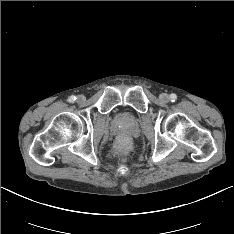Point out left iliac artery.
I'll list each match as a JSON object with an SVG mask.
<instances>
[{
	"label": "left iliac artery",
	"instance_id": "obj_1",
	"mask_svg": "<svg viewBox=\"0 0 234 234\" xmlns=\"http://www.w3.org/2000/svg\"><path fill=\"white\" fill-rule=\"evenodd\" d=\"M176 99H177V95L174 94V93H172V94L170 95V100H171L172 102H175Z\"/></svg>",
	"mask_w": 234,
	"mask_h": 234
}]
</instances>
